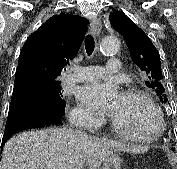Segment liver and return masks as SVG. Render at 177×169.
I'll list each match as a JSON object with an SVG mask.
<instances>
[{
	"label": "liver",
	"instance_id": "6515ba94",
	"mask_svg": "<svg viewBox=\"0 0 177 169\" xmlns=\"http://www.w3.org/2000/svg\"><path fill=\"white\" fill-rule=\"evenodd\" d=\"M116 151L135 149L68 128L28 131L6 142L0 169H99Z\"/></svg>",
	"mask_w": 177,
	"mask_h": 169
}]
</instances>
